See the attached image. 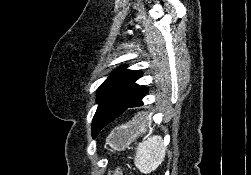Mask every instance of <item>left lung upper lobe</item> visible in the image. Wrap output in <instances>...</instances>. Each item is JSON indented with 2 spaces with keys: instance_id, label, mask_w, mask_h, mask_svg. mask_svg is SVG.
I'll list each match as a JSON object with an SVG mask.
<instances>
[{
  "instance_id": "5c2ea615",
  "label": "left lung upper lobe",
  "mask_w": 251,
  "mask_h": 175,
  "mask_svg": "<svg viewBox=\"0 0 251 175\" xmlns=\"http://www.w3.org/2000/svg\"><path fill=\"white\" fill-rule=\"evenodd\" d=\"M141 76V71L127 70L125 66H122L113 72V74L98 88L97 101L99 106L92 122L93 138H95L100 130L106 126L101 119H98V111L112 103L120 105L126 104L135 90L139 87L135 81Z\"/></svg>"
}]
</instances>
